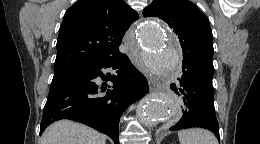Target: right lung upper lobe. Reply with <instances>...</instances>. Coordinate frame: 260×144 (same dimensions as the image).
I'll list each match as a JSON object with an SVG mask.
<instances>
[{"instance_id": "obj_1", "label": "right lung upper lobe", "mask_w": 260, "mask_h": 144, "mask_svg": "<svg viewBox=\"0 0 260 144\" xmlns=\"http://www.w3.org/2000/svg\"><path fill=\"white\" fill-rule=\"evenodd\" d=\"M138 17L123 0H78L60 26L54 72L119 53L125 32Z\"/></svg>"}]
</instances>
